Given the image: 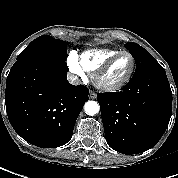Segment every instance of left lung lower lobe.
<instances>
[{
    "mask_svg": "<svg viewBox=\"0 0 178 178\" xmlns=\"http://www.w3.org/2000/svg\"><path fill=\"white\" fill-rule=\"evenodd\" d=\"M97 101L106 141L123 154L155 146L172 113V92L164 69L132 77L119 92L99 93Z\"/></svg>",
    "mask_w": 178,
    "mask_h": 178,
    "instance_id": "1",
    "label": "left lung lower lobe"
}]
</instances>
